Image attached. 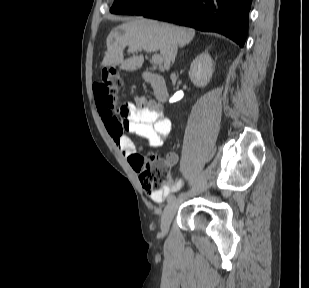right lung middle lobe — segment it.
<instances>
[{"label":"right lung middle lobe","mask_w":309,"mask_h":288,"mask_svg":"<svg viewBox=\"0 0 309 288\" xmlns=\"http://www.w3.org/2000/svg\"><path fill=\"white\" fill-rule=\"evenodd\" d=\"M164 1L165 0H115L110 11L114 14L142 15Z\"/></svg>","instance_id":"obj_1"}]
</instances>
